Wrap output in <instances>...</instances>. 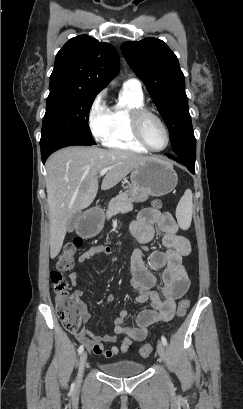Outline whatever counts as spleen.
<instances>
[{
    "label": "spleen",
    "mask_w": 243,
    "mask_h": 409,
    "mask_svg": "<svg viewBox=\"0 0 243 409\" xmlns=\"http://www.w3.org/2000/svg\"><path fill=\"white\" fill-rule=\"evenodd\" d=\"M193 213V194L190 189L184 192L181 197L177 208H176V218L179 226L186 230L190 227L192 221Z\"/></svg>",
    "instance_id": "1"
}]
</instances>
